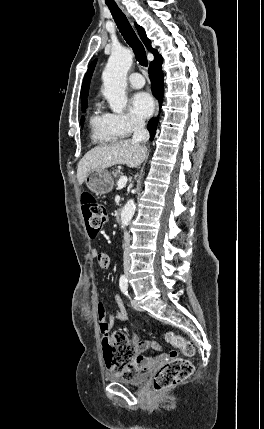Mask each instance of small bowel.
Returning a JSON list of instances; mask_svg holds the SVG:
<instances>
[{"instance_id":"obj_1","label":"small bowel","mask_w":264,"mask_h":429,"mask_svg":"<svg viewBox=\"0 0 264 429\" xmlns=\"http://www.w3.org/2000/svg\"><path fill=\"white\" fill-rule=\"evenodd\" d=\"M91 255L93 258H96L98 260V263L101 268L107 269L110 266V257L106 253H101L97 249L91 250ZM116 307L114 312L108 317L107 319V331L115 324L116 321H125L128 318L126 308L122 302V300L116 296ZM99 305H103L102 303H99ZM104 306V305H103ZM103 339H104V332L101 330ZM133 346L135 348V364L137 365L139 371L148 370L157 364L163 362L168 357L172 355L173 352H171L169 355L166 354H158L153 357H146L144 356V353L149 348L159 349V345L156 342H142L138 341L137 339L132 340Z\"/></svg>"}]
</instances>
